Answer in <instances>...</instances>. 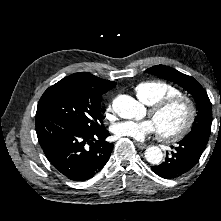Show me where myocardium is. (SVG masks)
Instances as JSON below:
<instances>
[{
    "label": "myocardium",
    "instance_id": "myocardium-1",
    "mask_svg": "<svg viewBox=\"0 0 221 221\" xmlns=\"http://www.w3.org/2000/svg\"><path fill=\"white\" fill-rule=\"evenodd\" d=\"M177 104L182 105L185 110L184 122L176 131L171 133H164L157 129L158 136L163 141L176 142L182 139L190 131L196 117L195 104L188 96L176 95L161 99L150 106L149 116L154 120L166 108Z\"/></svg>",
    "mask_w": 221,
    "mask_h": 221
}]
</instances>
